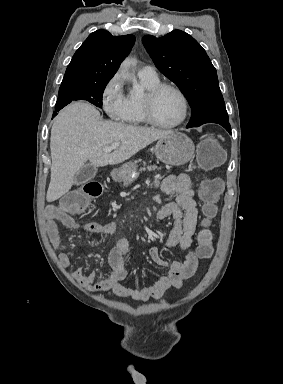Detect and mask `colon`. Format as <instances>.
Instances as JSON below:
<instances>
[{"instance_id": "5ec220e1", "label": "colon", "mask_w": 283, "mask_h": 384, "mask_svg": "<svg viewBox=\"0 0 283 384\" xmlns=\"http://www.w3.org/2000/svg\"><path fill=\"white\" fill-rule=\"evenodd\" d=\"M224 159V152L218 139L213 136L204 138L198 146V163L201 168L209 170L217 167ZM224 191V182L220 178L205 179L199 187V197L203 202L204 229L198 235L197 255L207 259L213 252L212 234L208 229L210 220L216 215V203ZM102 193L99 182H89L79 189L67 194L60 202V208L74 214L83 213L90 203Z\"/></svg>"}]
</instances>
